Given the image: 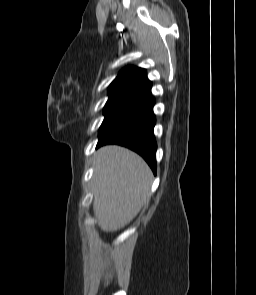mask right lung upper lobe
Masks as SVG:
<instances>
[{
  "label": "right lung upper lobe",
  "mask_w": 256,
  "mask_h": 295,
  "mask_svg": "<svg viewBox=\"0 0 256 295\" xmlns=\"http://www.w3.org/2000/svg\"><path fill=\"white\" fill-rule=\"evenodd\" d=\"M152 83L146 76V70L138 67L124 68L109 86V99L132 100L150 90Z\"/></svg>",
  "instance_id": "obj_1"
}]
</instances>
